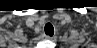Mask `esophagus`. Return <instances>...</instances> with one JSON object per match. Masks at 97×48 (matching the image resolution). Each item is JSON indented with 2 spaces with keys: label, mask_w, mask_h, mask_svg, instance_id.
<instances>
[{
  "label": "esophagus",
  "mask_w": 97,
  "mask_h": 48,
  "mask_svg": "<svg viewBox=\"0 0 97 48\" xmlns=\"http://www.w3.org/2000/svg\"><path fill=\"white\" fill-rule=\"evenodd\" d=\"M43 39L52 40V39H53V37L48 36V35H44V36H43Z\"/></svg>",
  "instance_id": "esophagus-1"
}]
</instances>
